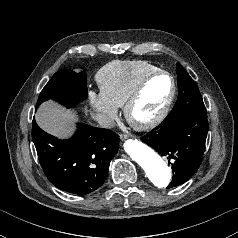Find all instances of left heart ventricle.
<instances>
[{
	"instance_id": "left-heart-ventricle-1",
	"label": "left heart ventricle",
	"mask_w": 238,
	"mask_h": 238,
	"mask_svg": "<svg viewBox=\"0 0 238 238\" xmlns=\"http://www.w3.org/2000/svg\"><path fill=\"white\" fill-rule=\"evenodd\" d=\"M170 89V81L166 76L151 80L132 110L133 119L137 122H145L153 118L165 104Z\"/></svg>"
}]
</instances>
